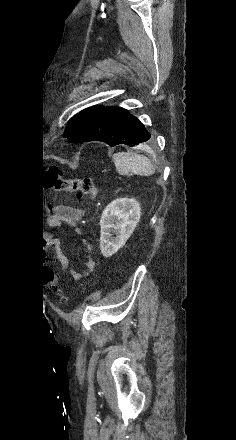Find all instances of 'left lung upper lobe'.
Listing matches in <instances>:
<instances>
[{
	"label": "left lung upper lobe",
	"mask_w": 236,
	"mask_h": 440,
	"mask_svg": "<svg viewBox=\"0 0 236 440\" xmlns=\"http://www.w3.org/2000/svg\"><path fill=\"white\" fill-rule=\"evenodd\" d=\"M102 106L91 107L82 110L80 113L76 114L69 122L68 126L64 131V137L67 139L73 138L79 131L81 126L85 121H87L93 114L100 110Z\"/></svg>",
	"instance_id": "left-lung-upper-lobe-1"
}]
</instances>
